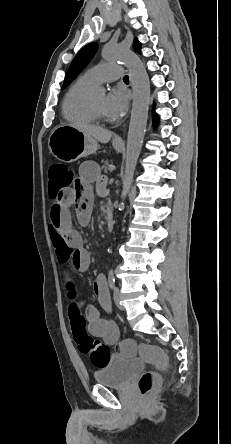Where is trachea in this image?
Returning <instances> with one entry per match:
<instances>
[{
    "label": "trachea",
    "mask_w": 231,
    "mask_h": 444,
    "mask_svg": "<svg viewBox=\"0 0 231 444\" xmlns=\"http://www.w3.org/2000/svg\"><path fill=\"white\" fill-rule=\"evenodd\" d=\"M123 80L124 81H129V77L126 75V76H124Z\"/></svg>",
    "instance_id": "3493384b"
}]
</instances>
